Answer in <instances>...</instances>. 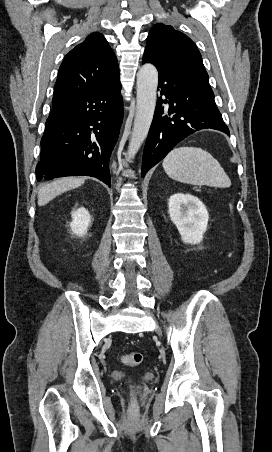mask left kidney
<instances>
[{"instance_id":"left-kidney-1","label":"left kidney","mask_w":272,"mask_h":452,"mask_svg":"<svg viewBox=\"0 0 272 452\" xmlns=\"http://www.w3.org/2000/svg\"><path fill=\"white\" fill-rule=\"evenodd\" d=\"M169 215L181 239L187 244H199L207 230L209 214L205 205L191 194L176 193L170 196Z\"/></svg>"}]
</instances>
